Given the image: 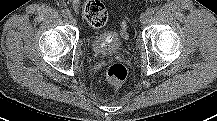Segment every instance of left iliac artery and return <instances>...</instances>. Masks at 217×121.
<instances>
[{
	"instance_id": "44dca946",
	"label": "left iliac artery",
	"mask_w": 217,
	"mask_h": 121,
	"mask_svg": "<svg viewBox=\"0 0 217 121\" xmlns=\"http://www.w3.org/2000/svg\"><path fill=\"white\" fill-rule=\"evenodd\" d=\"M147 12H148L149 15H152L155 12V8L150 7V8L147 9Z\"/></svg>"
}]
</instances>
